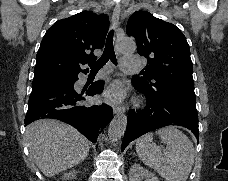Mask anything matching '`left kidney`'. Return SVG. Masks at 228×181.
Listing matches in <instances>:
<instances>
[{
  "label": "left kidney",
  "mask_w": 228,
  "mask_h": 181,
  "mask_svg": "<svg viewBox=\"0 0 228 181\" xmlns=\"http://www.w3.org/2000/svg\"><path fill=\"white\" fill-rule=\"evenodd\" d=\"M129 181H159V179L141 165H132L129 171Z\"/></svg>",
  "instance_id": "left-kidney-1"
}]
</instances>
